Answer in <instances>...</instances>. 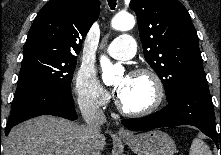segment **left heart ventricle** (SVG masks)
Wrapping results in <instances>:
<instances>
[{"instance_id":"1","label":"left heart ventricle","mask_w":221,"mask_h":155,"mask_svg":"<svg viewBox=\"0 0 221 155\" xmlns=\"http://www.w3.org/2000/svg\"><path fill=\"white\" fill-rule=\"evenodd\" d=\"M116 88H121L118 96L125 108L133 111L149 107L155 98V86L151 78L145 75L119 77Z\"/></svg>"}]
</instances>
